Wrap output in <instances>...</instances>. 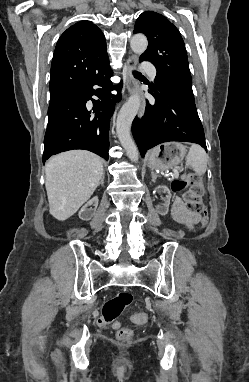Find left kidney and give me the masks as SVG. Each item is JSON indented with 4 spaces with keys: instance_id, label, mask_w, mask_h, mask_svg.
<instances>
[{
    "instance_id": "left-kidney-1",
    "label": "left kidney",
    "mask_w": 249,
    "mask_h": 382,
    "mask_svg": "<svg viewBox=\"0 0 249 382\" xmlns=\"http://www.w3.org/2000/svg\"><path fill=\"white\" fill-rule=\"evenodd\" d=\"M157 195L153 197L154 203H160L162 208H169L171 202V190L166 185H159L157 188Z\"/></svg>"
}]
</instances>
